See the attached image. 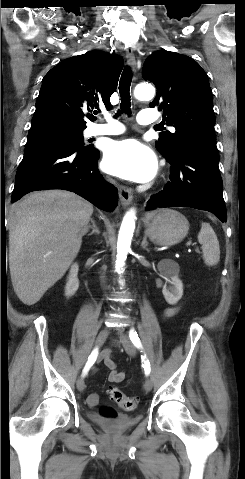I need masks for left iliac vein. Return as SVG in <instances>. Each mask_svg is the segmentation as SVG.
<instances>
[{
    "label": "left iliac vein",
    "instance_id": "1",
    "mask_svg": "<svg viewBox=\"0 0 245 479\" xmlns=\"http://www.w3.org/2000/svg\"><path fill=\"white\" fill-rule=\"evenodd\" d=\"M119 336L126 353L129 354L130 356H134L136 354V348L134 344L131 342V340L128 338L127 335L123 333L122 330H119ZM144 389L146 391H150L152 389V380L150 378H147L145 380Z\"/></svg>",
    "mask_w": 245,
    "mask_h": 479
}]
</instances>
